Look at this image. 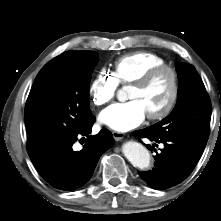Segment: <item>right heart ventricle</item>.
I'll use <instances>...</instances> for the list:
<instances>
[{
    "label": "right heart ventricle",
    "mask_w": 221,
    "mask_h": 221,
    "mask_svg": "<svg viewBox=\"0 0 221 221\" xmlns=\"http://www.w3.org/2000/svg\"><path fill=\"white\" fill-rule=\"evenodd\" d=\"M163 64H166V60L156 53L133 52L114 61L112 76L118 84H131L148 70Z\"/></svg>",
    "instance_id": "1"
}]
</instances>
